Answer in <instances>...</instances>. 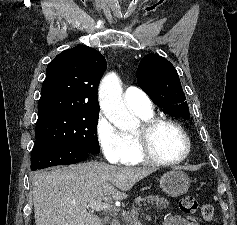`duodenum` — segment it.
<instances>
[{
    "label": "duodenum",
    "instance_id": "410a0bca",
    "mask_svg": "<svg viewBox=\"0 0 237 225\" xmlns=\"http://www.w3.org/2000/svg\"><path fill=\"white\" fill-rule=\"evenodd\" d=\"M109 225H120V224L117 220H113V221L110 222Z\"/></svg>",
    "mask_w": 237,
    "mask_h": 225
}]
</instances>
